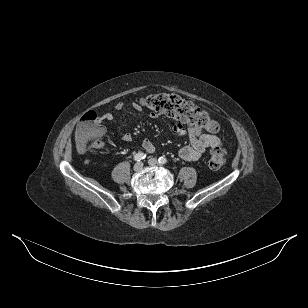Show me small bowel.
<instances>
[{
    "instance_id": "obj_1",
    "label": "small bowel",
    "mask_w": 308,
    "mask_h": 308,
    "mask_svg": "<svg viewBox=\"0 0 308 308\" xmlns=\"http://www.w3.org/2000/svg\"><path fill=\"white\" fill-rule=\"evenodd\" d=\"M127 107L133 108L136 112L141 111V107L134 102H118L115 105V109L117 111H122ZM151 117L155 118L157 117V114L152 112ZM100 119L101 121H112L114 119V115L111 112H107L103 114ZM174 131L179 136L187 134L189 138V145L184 146L179 150V156L183 160L195 161L200 159L208 148H213L217 146L222 147V143L219 137L214 134L204 132L196 127L185 128L182 124L177 123L174 126ZM121 140L125 143H129L132 140V135L129 133H125L121 136ZM142 147L147 153H152L155 150L153 143L148 139L143 140Z\"/></svg>"
}]
</instances>
